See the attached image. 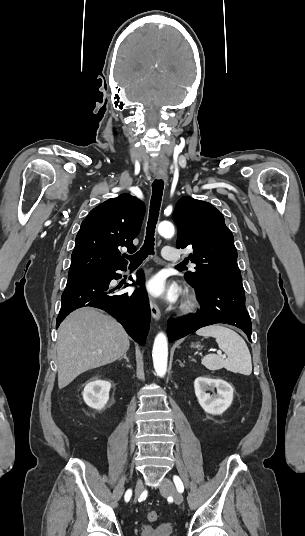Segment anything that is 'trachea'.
Instances as JSON below:
<instances>
[{"label": "trachea", "instance_id": "obj_1", "mask_svg": "<svg viewBox=\"0 0 305 536\" xmlns=\"http://www.w3.org/2000/svg\"><path fill=\"white\" fill-rule=\"evenodd\" d=\"M164 189L163 180H154L152 183V196L150 201L149 220L147 223L145 241L142 248L134 253V255H125V258L130 260V263H142L148 255L154 254V234L158 221V215L160 211V205L162 201ZM177 268H183L184 266L179 264Z\"/></svg>", "mask_w": 305, "mask_h": 536}]
</instances>
